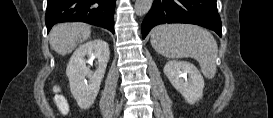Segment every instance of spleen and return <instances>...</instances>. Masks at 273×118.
<instances>
[{"label":"spleen","instance_id":"3e777b00","mask_svg":"<svg viewBox=\"0 0 273 118\" xmlns=\"http://www.w3.org/2000/svg\"><path fill=\"white\" fill-rule=\"evenodd\" d=\"M154 49L167 58L191 57L198 61L205 77L216 74L218 47L210 32L192 25H162L151 35Z\"/></svg>","mask_w":273,"mask_h":118}]
</instances>
